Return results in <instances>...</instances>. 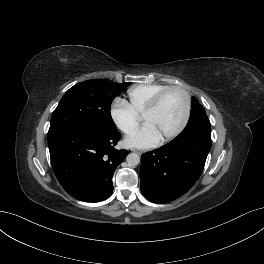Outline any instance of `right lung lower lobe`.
Wrapping results in <instances>:
<instances>
[{"label":"right lung lower lobe","instance_id":"obj_1","mask_svg":"<svg viewBox=\"0 0 264 264\" xmlns=\"http://www.w3.org/2000/svg\"><path fill=\"white\" fill-rule=\"evenodd\" d=\"M120 138L117 130L79 131L49 140L51 164L62 187L85 202H99L110 197L116 167L129 153L114 149Z\"/></svg>","mask_w":264,"mask_h":264}]
</instances>
